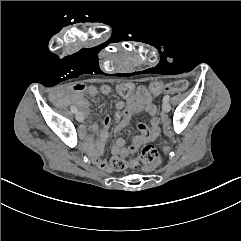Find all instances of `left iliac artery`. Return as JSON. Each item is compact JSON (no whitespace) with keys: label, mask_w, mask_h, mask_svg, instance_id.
<instances>
[{"label":"left iliac artery","mask_w":241,"mask_h":241,"mask_svg":"<svg viewBox=\"0 0 241 241\" xmlns=\"http://www.w3.org/2000/svg\"><path fill=\"white\" fill-rule=\"evenodd\" d=\"M169 99H170V96L169 95H165L164 98H163V101H167L168 102Z\"/></svg>","instance_id":"left-iliac-artery-1"}]
</instances>
